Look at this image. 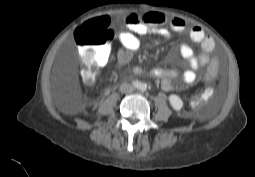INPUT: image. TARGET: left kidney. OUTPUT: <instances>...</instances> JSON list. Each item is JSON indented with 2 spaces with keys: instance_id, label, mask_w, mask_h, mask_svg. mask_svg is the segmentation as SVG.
I'll use <instances>...</instances> for the list:
<instances>
[{
  "instance_id": "obj_1",
  "label": "left kidney",
  "mask_w": 255,
  "mask_h": 177,
  "mask_svg": "<svg viewBox=\"0 0 255 177\" xmlns=\"http://www.w3.org/2000/svg\"><path fill=\"white\" fill-rule=\"evenodd\" d=\"M169 102L172 108L176 111H179L183 107V101L178 95H170Z\"/></svg>"
}]
</instances>
